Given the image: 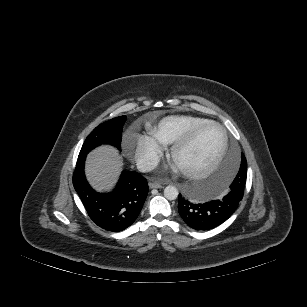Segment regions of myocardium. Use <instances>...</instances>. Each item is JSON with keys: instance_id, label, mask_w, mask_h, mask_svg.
Returning <instances> with one entry per match:
<instances>
[{"instance_id": "obj_1", "label": "myocardium", "mask_w": 307, "mask_h": 307, "mask_svg": "<svg viewBox=\"0 0 307 307\" xmlns=\"http://www.w3.org/2000/svg\"><path fill=\"white\" fill-rule=\"evenodd\" d=\"M208 126H216L220 129L222 133L221 147L219 151L217 152V154L215 155V157L213 158V160L211 161V163H209L207 166L200 168V169H196V170H181V172L188 178H202V177L208 176L210 173H212V171L216 169V167L222 160L223 156L225 155L227 147H228L229 137H228V133L226 129L219 122L209 120L207 122H204L202 124H199L193 127L183 137L177 140L171 147L170 158L174 162L176 155L182 149L187 147L194 140V138L197 136V134L201 130H203L204 128Z\"/></svg>"}]
</instances>
